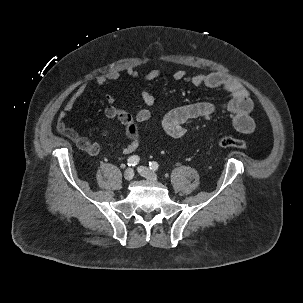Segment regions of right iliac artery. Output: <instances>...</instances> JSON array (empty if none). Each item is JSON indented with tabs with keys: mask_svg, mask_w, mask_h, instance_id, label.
Returning a JSON list of instances; mask_svg holds the SVG:
<instances>
[{
	"mask_svg": "<svg viewBox=\"0 0 303 303\" xmlns=\"http://www.w3.org/2000/svg\"><path fill=\"white\" fill-rule=\"evenodd\" d=\"M140 158L137 155H132L128 158V166H136L139 163Z\"/></svg>",
	"mask_w": 303,
	"mask_h": 303,
	"instance_id": "1",
	"label": "right iliac artery"
}]
</instances>
